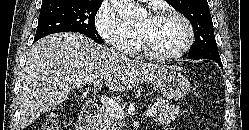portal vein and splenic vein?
<instances>
[{
  "instance_id": "portal-vein-and-splenic-vein-1",
  "label": "portal vein and splenic vein",
  "mask_w": 249,
  "mask_h": 130,
  "mask_svg": "<svg viewBox=\"0 0 249 130\" xmlns=\"http://www.w3.org/2000/svg\"><path fill=\"white\" fill-rule=\"evenodd\" d=\"M94 87L96 89H100L101 88V81L97 80L95 82H93ZM101 103L103 104V106H105L106 110L111 113L116 115L118 118L122 119L124 117V112H123V108L121 106H119L115 101H112L110 99H108L107 97L101 96L100 98ZM154 114V109L150 108L147 110L146 112V116L150 117Z\"/></svg>"
}]
</instances>
